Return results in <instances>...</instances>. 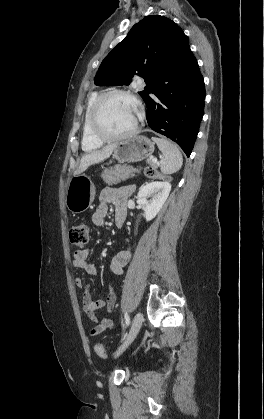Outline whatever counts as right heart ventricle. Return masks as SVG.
<instances>
[{"label": "right heart ventricle", "mask_w": 264, "mask_h": 419, "mask_svg": "<svg viewBox=\"0 0 264 419\" xmlns=\"http://www.w3.org/2000/svg\"><path fill=\"white\" fill-rule=\"evenodd\" d=\"M99 92L95 91L92 92L87 100L84 118H83V125H82V136H81V146L82 149L86 152L93 151L98 149L102 145V141L96 139L90 132L89 128V116L92 105L96 98L99 96Z\"/></svg>", "instance_id": "1"}]
</instances>
